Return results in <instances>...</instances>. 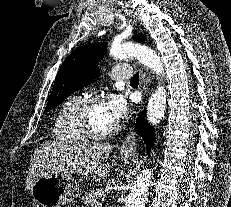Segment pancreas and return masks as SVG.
I'll list each match as a JSON object with an SVG mask.
<instances>
[{"instance_id": "obj_1", "label": "pancreas", "mask_w": 231, "mask_h": 207, "mask_svg": "<svg viewBox=\"0 0 231 207\" xmlns=\"http://www.w3.org/2000/svg\"><path fill=\"white\" fill-rule=\"evenodd\" d=\"M103 197H104V193L101 188L91 189L88 192H85L84 196L82 197V203L86 207H88L89 205L101 203Z\"/></svg>"}]
</instances>
